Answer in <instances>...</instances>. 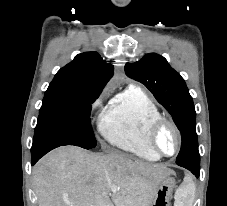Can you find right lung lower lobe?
Masks as SVG:
<instances>
[{"mask_svg": "<svg viewBox=\"0 0 227 206\" xmlns=\"http://www.w3.org/2000/svg\"><path fill=\"white\" fill-rule=\"evenodd\" d=\"M62 146V143L57 141H50L47 143H43L37 147L31 148L32 159L31 163L34 165L42 156L48 153L50 150Z\"/></svg>", "mask_w": 227, "mask_h": 206, "instance_id": "right-lung-lower-lobe-1", "label": "right lung lower lobe"}]
</instances>
